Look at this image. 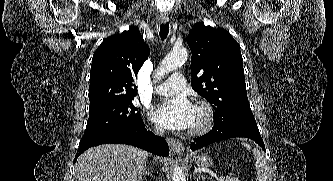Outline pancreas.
Masks as SVG:
<instances>
[{"label":"pancreas","mask_w":333,"mask_h":181,"mask_svg":"<svg viewBox=\"0 0 333 181\" xmlns=\"http://www.w3.org/2000/svg\"><path fill=\"white\" fill-rule=\"evenodd\" d=\"M224 181H239V179L235 178V177L230 178V177L227 176L226 178H224Z\"/></svg>","instance_id":"obj_1"}]
</instances>
